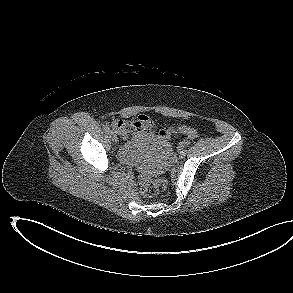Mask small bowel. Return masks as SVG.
Instances as JSON below:
<instances>
[{
	"mask_svg": "<svg viewBox=\"0 0 293 293\" xmlns=\"http://www.w3.org/2000/svg\"><path fill=\"white\" fill-rule=\"evenodd\" d=\"M112 126L123 138H127L131 132L137 137L143 138L152 135L154 131V124L146 115H139L130 122L117 119Z\"/></svg>",
	"mask_w": 293,
	"mask_h": 293,
	"instance_id": "c3829d8e",
	"label": "small bowel"
}]
</instances>
